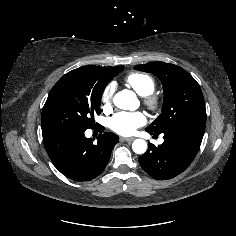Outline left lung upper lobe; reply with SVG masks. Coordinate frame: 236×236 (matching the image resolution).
Returning <instances> with one entry per match:
<instances>
[{
  "label": "left lung upper lobe",
  "mask_w": 236,
  "mask_h": 236,
  "mask_svg": "<svg viewBox=\"0 0 236 236\" xmlns=\"http://www.w3.org/2000/svg\"><path fill=\"white\" fill-rule=\"evenodd\" d=\"M135 70L156 75L163 85L164 102L161 115L146 128L151 134H160L179 124L204 121V97L197 81L179 66L164 62L136 65Z\"/></svg>",
  "instance_id": "obj_1"
}]
</instances>
